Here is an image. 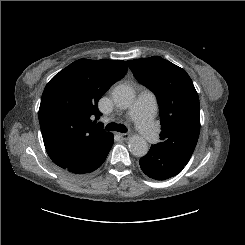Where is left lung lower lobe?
<instances>
[{"label":"left lung lower lobe","instance_id":"1","mask_svg":"<svg viewBox=\"0 0 245 245\" xmlns=\"http://www.w3.org/2000/svg\"><path fill=\"white\" fill-rule=\"evenodd\" d=\"M186 164L172 157L168 152L152 146L146 156L140 159L142 171L155 180H166L179 174Z\"/></svg>","mask_w":245,"mask_h":245}]
</instances>
